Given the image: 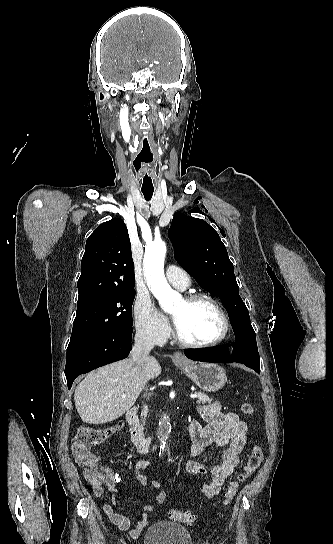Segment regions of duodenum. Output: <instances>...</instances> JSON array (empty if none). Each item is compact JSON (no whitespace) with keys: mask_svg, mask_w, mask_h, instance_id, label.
Segmentation results:
<instances>
[{"mask_svg":"<svg viewBox=\"0 0 333 544\" xmlns=\"http://www.w3.org/2000/svg\"><path fill=\"white\" fill-rule=\"evenodd\" d=\"M126 421L129 427L130 440L136 451L140 454L149 453L152 450L154 438L146 436L140 429L136 407H131L127 411Z\"/></svg>","mask_w":333,"mask_h":544,"instance_id":"410a0bca","label":"duodenum"}]
</instances>
